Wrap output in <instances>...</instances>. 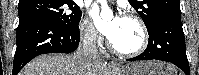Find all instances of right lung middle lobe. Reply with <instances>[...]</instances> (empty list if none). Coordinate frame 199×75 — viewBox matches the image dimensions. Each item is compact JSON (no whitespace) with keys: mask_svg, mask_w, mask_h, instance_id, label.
I'll return each instance as SVG.
<instances>
[{"mask_svg":"<svg viewBox=\"0 0 199 75\" xmlns=\"http://www.w3.org/2000/svg\"><path fill=\"white\" fill-rule=\"evenodd\" d=\"M19 20L41 18L65 28L73 29L82 16L80 7L72 0H24L18 4Z\"/></svg>","mask_w":199,"mask_h":75,"instance_id":"1","label":"right lung middle lobe"}]
</instances>
